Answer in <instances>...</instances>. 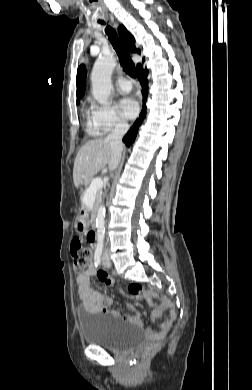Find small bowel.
Listing matches in <instances>:
<instances>
[{"label": "small bowel", "instance_id": "obj_1", "mask_svg": "<svg viewBox=\"0 0 252 390\" xmlns=\"http://www.w3.org/2000/svg\"><path fill=\"white\" fill-rule=\"evenodd\" d=\"M97 270L93 264L82 273H79L76 277V285L78 289L79 298L82 301L83 308L91 313H104L111 315L115 318L122 319L131 323H141V316L139 313L136 315L122 314L117 310H111L112 299L104 296L99 291L95 290L91 286V278L96 274ZM99 278L102 282L111 284L113 279L107 273H100ZM134 299H144L151 297L155 303H157V309L153 315V320H157L161 317L164 318L163 323L160 326L158 332L149 331L151 338H157L164 335L171 327L173 320L175 319V309L173 303L161 295H150L148 292H140L135 295H131ZM127 306L132 307L129 302H125Z\"/></svg>", "mask_w": 252, "mask_h": 390}]
</instances>
